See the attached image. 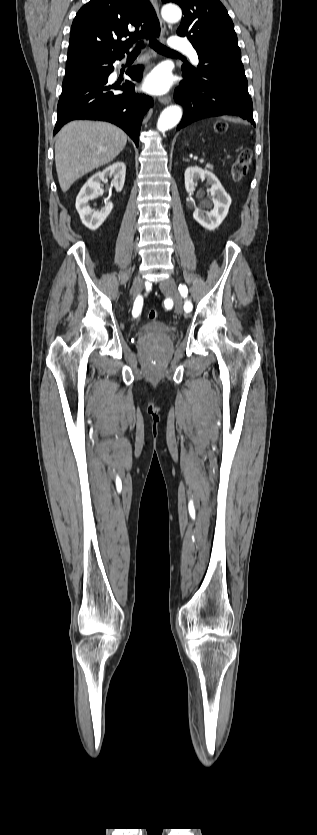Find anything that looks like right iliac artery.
I'll return each mask as SVG.
<instances>
[{
    "instance_id": "right-iliac-artery-1",
    "label": "right iliac artery",
    "mask_w": 317,
    "mask_h": 835,
    "mask_svg": "<svg viewBox=\"0 0 317 835\" xmlns=\"http://www.w3.org/2000/svg\"><path fill=\"white\" fill-rule=\"evenodd\" d=\"M142 306H143V298L141 296H138L136 298L135 302H134V306H133V310H132V315L134 317H137L141 313Z\"/></svg>"
}]
</instances>
